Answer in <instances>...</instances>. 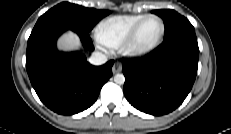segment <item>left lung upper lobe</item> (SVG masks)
Segmentation results:
<instances>
[{
  "label": "left lung upper lobe",
  "mask_w": 231,
  "mask_h": 134,
  "mask_svg": "<svg viewBox=\"0 0 231 134\" xmlns=\"http://www.w3.org/2000/svg\"><path fill=\"white\" fill-rule=\"evenodd\" d=\"M152 12L154 14H157L164 20L165 23L164 39L171 37L175 34L195 31L194 27L188 21V19L178 14L174 10L161 9V10H153Z\"/></svg>",
  "instance_id": "obj_1"
}]
</instances>
